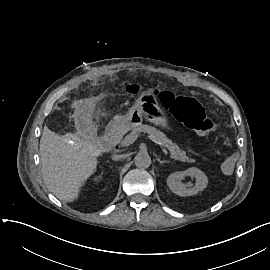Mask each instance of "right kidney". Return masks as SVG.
Masks as SVG:
<instances>
[{"mask_svg": "<svg viewBox=\"0 0 270 270\" xmlns=\"http://www.w3.org/2000/svg\"><path fill=\"white\" fill-rule=\"evenodd\" d=\"M101 178H102L101 176H96V177H94L93 180H94L95 182H99V181L101 180Z\"/></svg>", "mask_w": 270, "mask_h": 270, "instance_id": "1", "label": "right kidney"}]
</instances>
